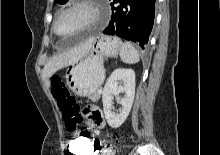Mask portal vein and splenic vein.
I'll return each mask as SVG.
<instances>
[{"instance_id":"18ae733b","label":"portal vein and splenic vein","mask_w":220,"mask_h":155,"mask_svg":"<svg viewBox=\"0 0 220 155\" xmlns=\"http://www.w3.org/2000/svg\"><path fill=\"white\" fill-rule=\"evenodd\" d=\"M98 93H102V90H101V89H99V90H98Z\"/></svg>"}]
</instances>
